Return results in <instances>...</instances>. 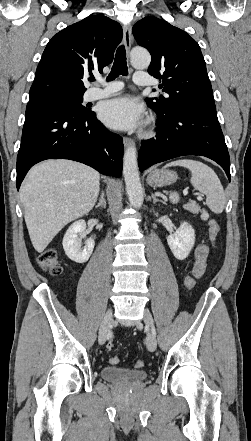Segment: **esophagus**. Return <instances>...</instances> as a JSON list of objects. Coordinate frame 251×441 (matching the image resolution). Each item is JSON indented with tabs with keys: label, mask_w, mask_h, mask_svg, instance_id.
Masks as SVG:
<instances>
[{
	"label": "esophagus",
	"mask_w": 251,
	"mask_h": 441,
	"mask_svg": "<svg viewBox=\"0 0 251 441\" xmlns=\"http://www.w3.org/2000/svg\"><path fill=\"white\" fill-rule=\"evenodd\" d=\"M123 41L126 51L127 53H129L132 44V34H131L130 25H125L123 28ZM123 143L125 147H129L133 145V140L129 137H123Z\"/></svg>",
	"instance_id": "34e87169"
}]
</instances>
